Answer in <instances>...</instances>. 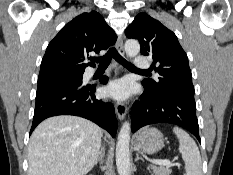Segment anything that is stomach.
I'll return each mask as SVG.
<instances>
[{
	"label": "stomach",
	"instance_id": "1",
	"mask_svg": "<svg viewBox=\"0 0 233 175\" xmlns=\"http://www.w3.org/2000/svg\"><path fill=\"white\" fill-rule=\"evenodd\" d=\"M135 145L147 154H155L164 146V138L158 129L144 128L136 134Z\"/></svg>",
	"mask_w": 233,
	"mask_h": 175
}]
</instances>
